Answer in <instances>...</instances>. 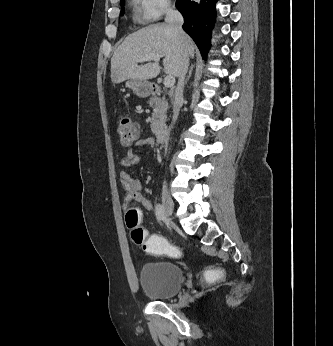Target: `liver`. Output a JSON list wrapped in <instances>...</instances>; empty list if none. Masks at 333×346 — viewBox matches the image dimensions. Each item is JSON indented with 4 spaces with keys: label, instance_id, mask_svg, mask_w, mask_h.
I'll list each match as a JSON object with an SVG mask.
<instances>
[{
    "label": "liver",
    "instance_id": "1",
    "mask_svg": "<svg viewBox=\"0 0 333 346\" xmlns=\"http://www.w3.org/2000/svg\"><path fill=\"white\" fill-rule=\"evenodd\" d=\"M186 53L194 57V44L184 33L182 39L168 24H155L128 35L114 52L111 59V81L114 84L127 79L147 81L161 71L158 62L138 65L141 59L159 54L164 57V72L178 77L179 67Z\"/></svg>",
    "mask_w": 333,
    "mask_h": 346
}]
</instances>
